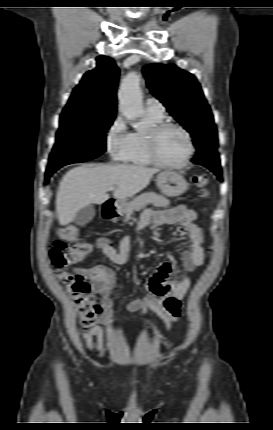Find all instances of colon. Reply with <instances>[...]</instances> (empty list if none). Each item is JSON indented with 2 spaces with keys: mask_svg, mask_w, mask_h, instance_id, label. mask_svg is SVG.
I'll return each instance as SVG.
<instances>
[{
  "mask_svg": "<svg viewBox=\"0 0 273 430\" xmlns=\"http://www.w3.org/2000/svg\"><path fill=\"white\" fill-rule=\"evenodd\" d=\"M193 182L200 189L201 197H206L208 176L197 175L193 178ZM90 252L91 245L79 240L78 228L74 225H67L60 229V239L55 242L50 251V261L55 274L65 284L76 303L84 333L92 328L102 307L92 295V287L87 278L69 272L67 267L81 261Z\"/></svg>",
  "mask_w": 273,
  "mask_h": 430,
  "instance_id": "obj_1",
  "label": "colon"
}]
</instances>
